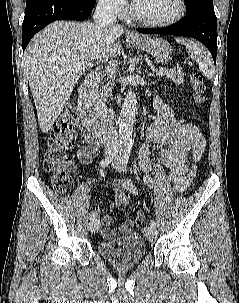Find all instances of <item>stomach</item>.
<instances>
[{
	"mask_svg": "<svg viewBox=\"0 0 239 303\" xmlns=\"http://www.w3.org/2000/svg\"><path fill=\"white\" fill-rule=\"evenodd\" d=\"M130 43L151 54L158 63H166L172 54V48L169 43L159 38L140 36L136 39H130Z\"/></svg>",
	"mask_w": 239,
	"mask_h": 303,
	"instance_id": "1",
	"label": "stomach"
}]
</instances>
